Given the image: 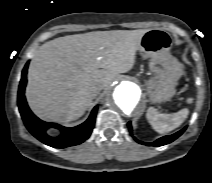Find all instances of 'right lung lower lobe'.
<instances>
[{"instance_id":"obj_1","label":"right lung lower lobe","mask_w":212,"mask_h":183,"mask_svg":"<svg viewBox=\"0 0 212 183\" xmlns=\"http://www.w3.org/2000/svg\"><path fill=\"white\" fill-rule=\"evenodd\" d=\"M29 62L26 63L23 71L22 78L19 85L18 91V106L21 113L22 119L25 126L30 133L44 144L54 148H65L74 146L85 141L91 134L94 128L97 106L92 110L90 117L83 124L73 127L65 128L57 124L46 123L37 118L29 109L25 96L24 90L26 86V74ZM57 128L61 130L62 134L58 137H51L47 134L48 128Z\"/></svg>"}]
</instances>
